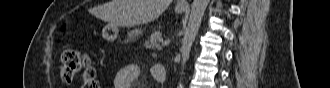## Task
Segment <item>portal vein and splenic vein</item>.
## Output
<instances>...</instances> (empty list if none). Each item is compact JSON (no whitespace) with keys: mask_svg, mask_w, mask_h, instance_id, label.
I'll return each instance as SVG.
<instances>
[{"mask_svg":"<svg viewBox=\"0 0 330 88\" xmlns=\"http://www.w3.org/2000/svg\"><path fill=\"white\" fill-rule=\"evenodd\" d=\"M170 44V40H165L164 42H162V45L163 46H167Z\"/></svg>","mask_w":330,"mask_h":88,"instance_id":"18ae733b","label":"portal vein and splenic vein"}]
</instances>
